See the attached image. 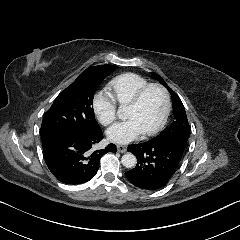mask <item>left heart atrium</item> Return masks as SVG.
<instances>
[{"label": "left heart atrium", "mask_w": 240, "mask_h": 240, "mask_svg": "<svg viewBox=\"0 0 240 240\" xmlns=\"http://www.w3.org/2000/svg\"><path fill=\"white\" fill-rule=\"evenodd\" d=\"M141 129L133 120L122 122L107 133L108 139L117 144H127L141 134Z\"/></svg>", "instance_id": "left-heart-atrium-1"}]
</instances>
